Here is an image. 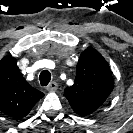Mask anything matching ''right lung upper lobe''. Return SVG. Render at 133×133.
<instances>
[{
  "mask_svg": "<svg viewBox=\"0 0 133 133\" xmlns=\"http://www.w3.org/2000/svg\"><path fill=\"white\" fill-rule=\"evenodd\" d=\"M43 96L24 79L14 57L0 61V111L20 120Z\"/></svg>",
  "mask_w": 133,
  "mask_h": 133,
  "instance_id": "right-lung-upper-lobe-1",
  "label": "right lung upper lobe"
}]
</instances>
